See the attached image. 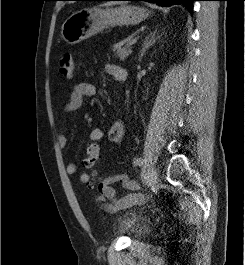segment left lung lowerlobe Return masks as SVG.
<instances>
[{
	"label": "left lung lower lobe",
	"mask_w": 245,
	"mask_h": 265,
	"mask_svg": "<svg viewBox=\"0 0 245 265\" xmlns=\"http://www.w3.org/2000/svg\"><path fill=\"white\" fill-rule=\"evenodd\" d=\"M89 1H111V0H89ZM121 1H147L150 3H156L159 6H171L176 4L186 5L190 12H193V1L197 0H121Z\"/></svg>",
	"instance_id": "left-lung-lower-lobe-1"
}]
</instances>
